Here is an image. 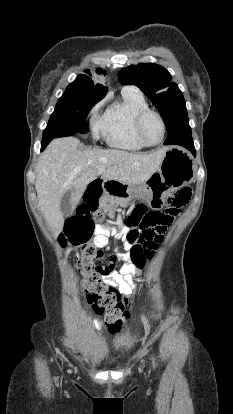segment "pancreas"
Here are the masks:
<instances>
[{"mask_svg":"<svg viewBox=\"0 0 233 414\" xmlns=\"http://www.w3.org/2000/svg\"><path fill=\"white\" fill-rule=\"evenodd\" d=\"M122 201L120 199H113L109 196H105L103 198L101 207L108 212L110 217H114L115 213V204L121 203Z\"/></svg>","mask_w":233,"mask_h":414,"instance_id":"cf45deb5","label":"pancreas"}]
</instances>
